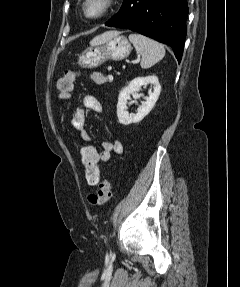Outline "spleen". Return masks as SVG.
Returning <instances> with one entry per match:
<instances>
[{"instance_id": "3e777b00", "label": "spleen", "mask_w": 240, "mask_h": 287, "mask_svg": "<svg viewBox=\"0 0 240 287\" xmlns=\"http://www.w3.org/2000/svg\"><path fill=\"white\" fill-rule=\"evenodd\" d=\"M129 40L142 57L140 65L143 69L152 67L165 56V48L161 43L142 34L131 33Z\"/></svg>"}]
</instances>
